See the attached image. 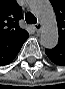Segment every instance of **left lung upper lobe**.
Here are the masks:
<instances>
[{
    "label": "left lung upper lobe",
    "instance_id": "left-lung-upper-lobe-1",
    "mask_svg": "<svg viewBox=\"0 0 65 89\" xmlns=\"http://www.w3.org/2000/svg\"><path fill=\"white\" fill-rule=\"evenodd\" d=\"M56 13L59 39L65 40V0H50Z\"/></svg>",
    "mask_w": 65,
    "mask_h": 89
}]
</instances>
